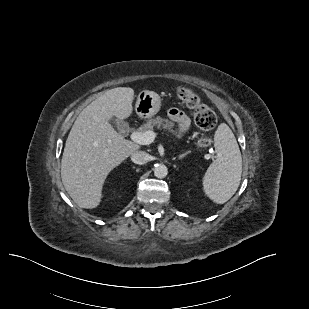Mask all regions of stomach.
Here are the masks:
<instances>
[{"label":"stomach","instance_id":"obj_1","mask_svg":"<svg viewBox=\"0 0 309 309\" xmlns=\"http://www.w3.org/2000/svg\"><path fill=\"white\" fill-rule=\"evenodd\" d=\"M135 108L141 118H150L161 108L160 96L153 91L143 90L137 97Z\"/></svg>","mask_w":309,"mask_h":309}]
</instances>
